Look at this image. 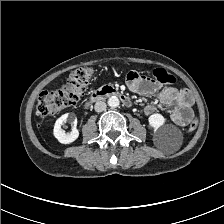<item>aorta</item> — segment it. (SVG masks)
<instances>
[{
    "label": "aorta",
    "mask_w": 224,
    "mask_h": 224,
    "mask_svg": "<svg viewBox=\"0 0 224 224\" xmlns=\"http://www.w3.org/2000/svg\"><path fill=\"white\" fill-rule=\"evenodd\" d=\"M119 104H120V101L116 96H112L108 99V105L111 108H116L119 106Z\"/></svg>",
    "instance_id": "762f6f07"
}]
</instances>
